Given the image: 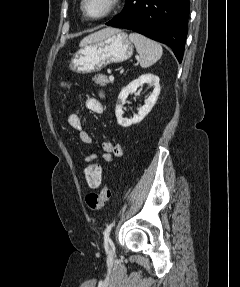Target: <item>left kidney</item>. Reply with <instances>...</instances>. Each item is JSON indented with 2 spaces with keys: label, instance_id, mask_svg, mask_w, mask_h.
Masks as SVG:
<instances>
[{
  "label": "left kidney",
  "instance_id": "5707ae66",
  "mask_svg": "<svg viewBox=\"0 0 240 287\" xmlns=\"http://www.w3.org/2000/svg\"><path fill=\"white\" fill-rule=\"evenodd\" d=\"M144 83H148L149 85L153 86V92L145 100V104L141 108H139L138 114H135L133 118L130 119L123 118V105L125 104L127 97L129 96V94L136 92L137 88L139 86H142ZM159 94V77L156 75H153L151 73L144 74L130 82L126 87L121 90L118 96V101L115 109L118 124L122 127H129L133 124L140 123L145 118V116L152 110L158 99Z\"/></svg>",
  "mask_w": 240,
  "mask_h": 287
}]
</instances>
